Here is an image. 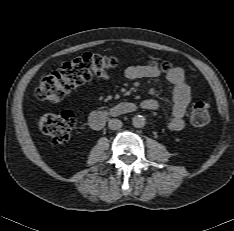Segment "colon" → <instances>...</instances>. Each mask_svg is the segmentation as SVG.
<instances>
[{"label": "colon", "instance_id": "colon-1", "mask_svg": "<svg viewBox=\"0 0 234 231\" xmlns=\"http://www.w3.org/2000/svg\"><path fill=\"white\" fill-rule=\"evenodd\" d=\"M117 65L118 59L113 56L85 53L63 63L59 69L44 76L35 90V95L40 100L61 101L76 87L112 71ZM151 65L162 72L171 69L168 62H154ZM210 121L207 104L197 102L191 110L190 123L196 128H204ZM76 122L75 114L70 111L48 113L40 117L39 128L55 144H63L68 141Z\"/></svg>", "mask_w": 234, "mask_h": 231}]
</instances>
